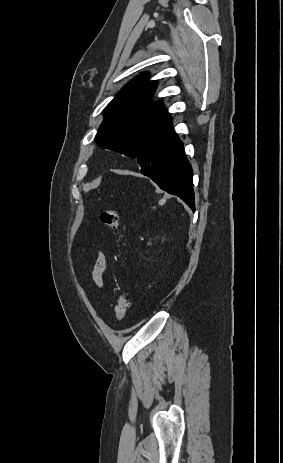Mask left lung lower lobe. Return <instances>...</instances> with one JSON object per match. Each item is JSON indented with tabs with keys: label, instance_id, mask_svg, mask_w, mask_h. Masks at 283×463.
Wrapping results in <instances>:
<instances>
[{
	"label": "left lung lower lobe",
	"instance_id": "0a47b994",
	"mask_svg": "<svg viewBox=\"0 0 283 463\" xmlns=\"http://www.w3.org/2000/svg\"><path fill=\"white\" fill-rule=\"evenodd\" d=\"M136 160L143 175L166 192L180 197L195 211L192 168L172 122L152 138Z\"/></svg>",
	"mask_w": 283,
	"mask_h": 463
}]
</instances>
